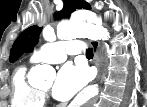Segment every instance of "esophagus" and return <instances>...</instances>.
<instances>
[{
  "mask_svg": "<svg viewBox=\"0 0 147 107\" xmlns=\"http://www.w3.org/2000/svg\"><path fill=\"white\" fill-rule=\"evenodd\" d=\"M89 44L94 51V60L98 68L97 80L101 77L103 71V61L101 56V46L100 43L96 40H89Z\"/></svg>",
  "mask_w": 147,
  "mask_h": 107,
  "instance_id": "esophagus-1",
  "label": "esophagus"
}]
</instances>
